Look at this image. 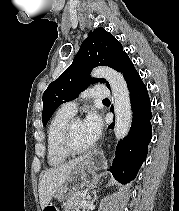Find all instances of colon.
<instances>
[{"label":"colon","instance_id":"obj_1","mask_svg":"<svg viewBox=\"0 0 179 211\" xmlns=\"http://www.w3.org/2000/svg\"><path fill=\"white\" fill-rule=\"evenodd\" d=\"M43 211H58V209L53 204H48L47 206H45V208L43 209Z\"/></svg>","mask_w":179,"mask_h":211}]
</instances>
